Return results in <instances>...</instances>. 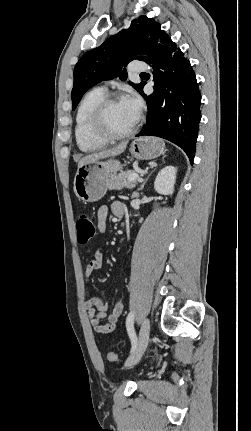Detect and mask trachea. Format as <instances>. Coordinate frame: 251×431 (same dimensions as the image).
<instances>
[{
	"mask_svg": "<svg viewBox=\"0 0 251 431\" xmlns=\"http://www.w3.org/2000/svg\"><path fill=\"white\" fill-rule=\"evenodd\" d=\"M146 73H141V75H145Z\"/></svg>",
	"mask_w": 251,
	"mask_h": 431,
	"instance_id": "1",
	"label": "trachea"
}]
</instances>
